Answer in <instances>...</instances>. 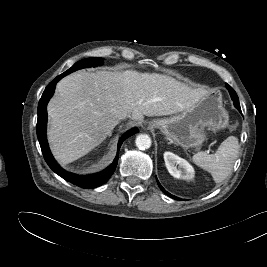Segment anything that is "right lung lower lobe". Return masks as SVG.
<instances>
[{
	"mask_svg": "<svg viewBox=\"0 0 267 267\" xmlns=\"http://www.w3.org/2000/svg\"><path fill=\"white\" fill-rule=\"evenodd\" d=\"M64 77L63 74L57 76L46 88L45 91L42 94V97L39 101L38 104V120H37V137L40 143V147L44 156L45 161L49 165V167L60 177L63 179L67 180L68 182H71L79 187L82 188H95L98 186H101L107 180L111 177V175L114 173L115 168L118 163V157L119 153H117L114 161L112 164H110L106 169L103 171L92 174V175H87V176H79L77 174L69 173L62 169L59 164L55 161L53 158L46 139V124H47V111H46V106L51 98V96L54 93L56 83ZM137 128L131 129L127 133H125L121 139L119 140L118 143V152L120 149L121 144L123 141L128 138L129 136L135 134L137 132Z\"/></svg>",
	"mask_w": 267,
	"mask_h": 267,
	"instance_id": "obj_1",
	"label": "right lung lower lobe"
}]
</instances>
